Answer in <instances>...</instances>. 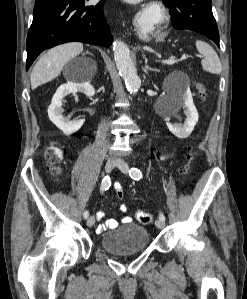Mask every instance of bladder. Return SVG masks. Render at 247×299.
<instances>
[{"mask_svg": "<svg viewBox=\"0 0 247 299\" xmlns=\"http://www.w3.org/2000/svg\"><path fill=\"white\" fill-rule=\"evenodd\" d=\"M150 244L148 230L136 223H127L105 233L100 239L101 248L114 255L142 252Z\"/></svg>", "mask_w": 247, "mask_h": 299, "instance_id": "31cf9c89", "label": "bladder"}]
</instances>
